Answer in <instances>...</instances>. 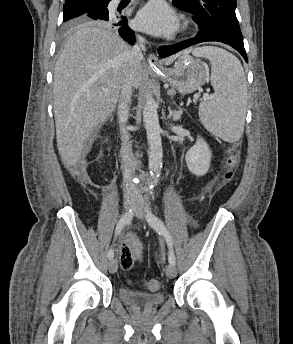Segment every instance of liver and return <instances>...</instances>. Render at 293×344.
<instances>
[{"label": "liver", "instance_id": "6515ba94", "mask_svg": "<svg viewBox=\"0 0 293 344\" xmlns=\"http://www.w3.org/2000/svg\"><path fill=\"white\" fill-rule=\"evenodd\" d=\"M130 51L118 35L100 26L79 28L66 41L55 65L53 82L57 148L66 167L80 161L85 142L115 111L130 67ZM180 55L165 59V64ZM145 74L141 65L135 88L142 85Z\"/></svg>", "mask_w": 293, "mask_h": 344}]
</instances>
